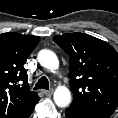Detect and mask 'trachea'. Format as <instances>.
I'll return each mask as SVG.
<instances>
[{"label":"trachea","mask_w":118,"mask_h":118,"mask_svg":"<svg viewBox=\"0 0 118 118\" xmlns=\"http://www.w3.org/2000/svg\"><path fill=\"white\" fill-rule=\"evenodd\" d=\"M42 88L49 89V81L45 76L41 77L34 87L35 90L42 89Z\"/></svg>","instance_id":"trachea-1"}]
</instances>
